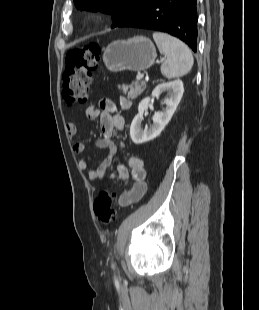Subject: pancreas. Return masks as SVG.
<instances>
[{
	"instance_id": "pancreas-1",
	"label": "pancreas",
	"mask_w": 259,
	"mask_h": 310,
	"mask_svg": "<svg viewBox=\"0 0 259 310\" xmlns=\"http://www.w3.org/2000/svg\"><path fill=\"white\" fill-rule=\"evenodd\" d=\"M123 92V94H127L128 99H136L146 88L145 81H136L132 83L131 85H122L118 86Z\"/></svg>"
}]
</instances>
